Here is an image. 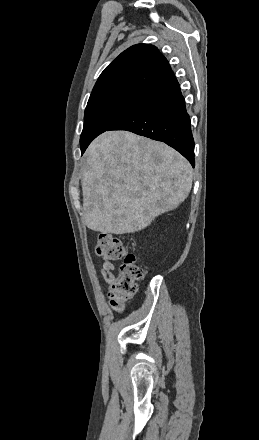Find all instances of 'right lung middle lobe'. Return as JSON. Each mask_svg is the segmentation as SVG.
<instances>
[{
	"instance_id": "1",
	"label": "right lung middle lobe",
	"mask_w": 259,
	"mask_h": 440,
	"mask_svg": "<svg viewBox=\"0 0 259 440\" xmlns=\"http://www.w3.org/2000/svg\"><path fill=\"white\" fill-rule=\"evenodd\" d=\"M146 93L143 90H121L90 99L85 109L84 127L80 137L81 151L95 137L125 116Z\"/></svg>"
}]
</instances>
